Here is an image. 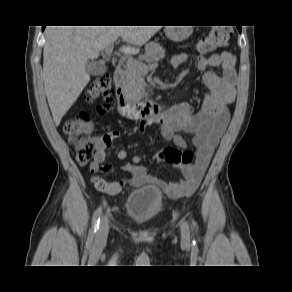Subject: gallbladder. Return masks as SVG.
<instances>
[{
  "label": "gallbladder",
  "instance_id": "1",
  "mask_svg": "<svg viewBox=\"0 0 292 292\" xmlns=\"http://www.w3.org/2000/svg\"><path fill=\"white\" fill-rule=\"evenodd\" d=\"M86 71L90 75H101L106 71V67L100 62H88L86 64Z\"/></svg>",
  "mask_w": 292,
  "mask_h": 292
}]
</instances>
